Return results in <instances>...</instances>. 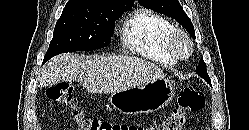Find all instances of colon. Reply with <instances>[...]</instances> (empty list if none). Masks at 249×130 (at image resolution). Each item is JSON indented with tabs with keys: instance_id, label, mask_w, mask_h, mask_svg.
Returning <instances> with one entry per match:
<instances>
[{
	"instance_id": "1",
	"label": "colon",
	"mask_w": 249,
	"mask_h": 130,
	"mask_svg": "<svg viewBox=\"0 0 249 130\" xmlns=\"http://www.w3.org/2000/svg\"><path fill=\"white\" fill-rule=\"evenodd\" d=\"M47 97L71 111L73 123L77 130H182L188 116L198 112L204 105V94L189 85L184 87L171 114L161 123L142 126L128 123H111L88 117L77 105L73 95V86L69 83H58L46 91Z\"/></svg>"
}]
</instances>
